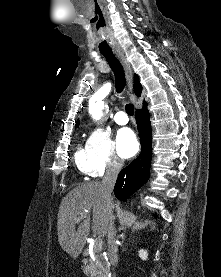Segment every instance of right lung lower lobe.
Returning <instances> with one entry per match:
<instances>
[{
    "label": "right lung lower lobe",
    "mask_w": 221,
    "mask_h": 277,
    "mask_svg": "<svg viewBox=\"0 0 221 277\" xmlns=\"http://www.w3.org/2000/svg\"><path fill=\"white\" fill-rule=\"evenodd\" d=\"M135 117L140 135L141 153L118 175L114 194L122 201H126L127 198L145 184L150 175L152 134L146 102L143 103L142 109L136 110Z\"/></svg>",
    "instance_id": "obj_1"
}]
</instances>
